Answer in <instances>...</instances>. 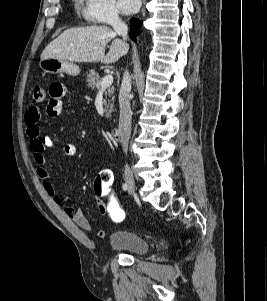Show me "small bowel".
<instances>
[{
  "label": "small bowel",
  "instance_id": "1",
  "mask_svg": "<svg viewBox=\"0 0 267 301\" xmlns=\"http://www.w3.org/2000/svg\"><path fill=\"white\" fill-rule=\"evenodd\" d=\"M49 101L47 103V113L51 117H57L62 113L63 100L67 96V89L64 83L54 82L49 88ZM41 118V109L38 105H32L25 114L24 122L26 126V134L29 138L30 150L32 158L36 165V174L41 180L44 190L51 196L54 202L58 205H63L64 213L72 218L74 223L83 231L90 232L92 230L91 224L84 212L80 209H75L68 204V198L58 194L55 186L50 180L48 172L43 165L45 164L44 150L54 146L52 140L43 136L40 131L39 121ZM63 153L66 156L72 157L76 154V146L72 143H67L63 147ZM94 198V197H93ZM101 214L105 215L104 208L99 200L95 199ZM96 235L100 238L106 236L105 230H97Z\"/></svg>",
  "mask_w": 267,
  "mask_h": 301
}]
</instances>
